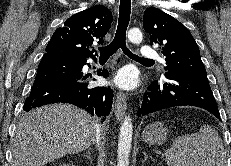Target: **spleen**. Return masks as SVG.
Here are the masks:
<instances>
[{
	"label": "spleen",
	"instance_id": "1",
	"mask_svg": "<svg viewBox=\"0 0 231 166\" xmlns=\"http://www.w3.org/2000/svg\"><path fill=\"white\" fill-rule=\"evenodd\" d=\"M164 156L168 166H227L222 139L210 125L175 139Z\"/></svg>",
	"mask_w": 231,
	"mask_h": 166
}]
</instances>
